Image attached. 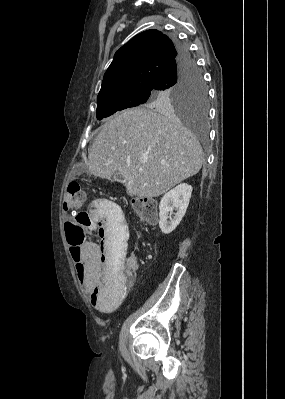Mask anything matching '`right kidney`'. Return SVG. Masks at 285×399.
<instances>
[{"mask_svg":"<svg viewBox=\"0 0 285 399\" xmlns=\"http://www.w3.org/2000/svg\"><path fill=\"white\" fill-rule=\"evenodd\" d=\"M191 193L192 186L181 183L161 198L159 227L164 234H170L181 222L189 205ZM174 209L176 213H173ZM169 214H174V217L171 218Z\"/></svg>","mask_w":285,"mask_h":399,"instance_id":"right-kidney-1","label":"right kidney"}]
</instances>
